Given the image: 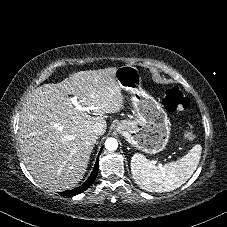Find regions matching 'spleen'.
Here are the masks:
<instances>
[{
    "label": "spleen",
    "instance_id": "3e777b00",
    "mask_svg": "<svg viewBox=\"0 0 227 227\" xmlns=\"http://www.w3.org/2000/svg\"><path fill=\"white\" fill-rule=\"evenodd\" d=\"M201 145H195L177 161L156 166L145 156L134 154L131 172L136 184L150 192H169L182 186L195 172L201 157Z\"/></svg>",
    "mask_w": 227,
    "mask_h": 227
}]
</instances>
